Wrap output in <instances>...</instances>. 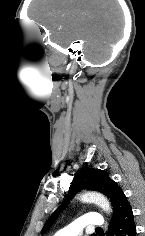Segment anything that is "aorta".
Returning a JSON list of instances; mask_svg holds the SVG:
<instances>
[{"label": "aorta", "mask_w": 145, "mask_h": 236, "mask_svg": "<svg viewBox=\"0 0 145 236\" xmlns=\"http://www.w3.org/2000/svg\"><path fill=\"white\" fill-rule=\"evenodd\" d=\"M79 199L83 203H94L98 205L108 214L111 212V205L109 201L104 195L100 193L91 191L84 192L80 195Z\"/></svg>", "instance_id": "aorta-1"}]
</instances>
